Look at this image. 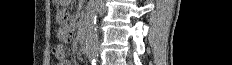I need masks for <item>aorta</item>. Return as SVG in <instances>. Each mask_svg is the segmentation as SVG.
Returning <instances> with one entry per match:
<instances>
[{"label":"aorta","mask_w":232,"mask_h":65,"mask_svg":"<svg viewBox=\"0 0 232 65\" xmlns=\"http://www.w3.org/2000/svg\"><path fill=\"white\" fill-rule=\"evenodd\" d=\"M103 0H89L85 13V48L90 58L97 56V15L102 7Z\"/></svg>","instance_id":"1"}]
</instances>
